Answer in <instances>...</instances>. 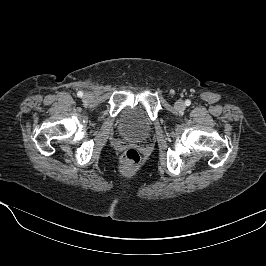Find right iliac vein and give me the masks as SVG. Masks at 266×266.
Segmentation results:
<instances>
[{
  "mask_svg": "<svg viewBox=\"0 0 266 266\" xmlns=\"http://www.w3.org/2000/svg\"><path fill=\"white\" fill-rule=\"evenodd\" d=\"M84 99L87 101H90L92 99V94H89V93L85 94Z\"/></svg>",
  "mask_w": 266,
  "mask_h": 266,
  "instance_id": "63e3f726",
  "label": "right iliac vein"
}]
</instances>
